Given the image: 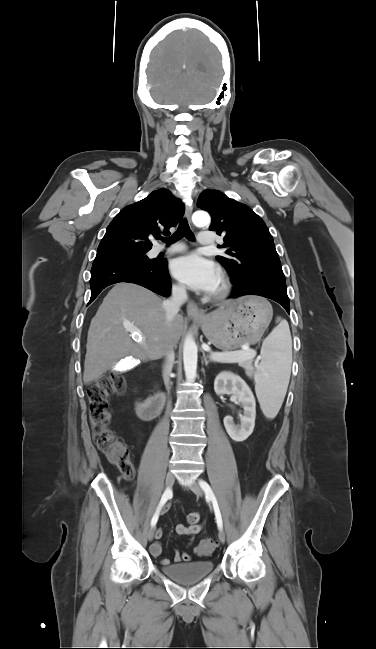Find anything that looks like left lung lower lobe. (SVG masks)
I'll use <instances>...</instances> for the list:
<instances>
[{"instance_id": "0a47b994", "label": "left lung lower lobe", "mask_w": 376, "mask_h": 649, "mask_svg": "<svg viewBox=\"0 0 376 649\" xmlns=\"http://www.w3.org/2000/svg\"><path fill=\"white\" fill-rule=\"evenodd\" d=\"M245 295H258L278 302L290 314L289 298L286 286L263 276H250L242 284L237 285L236 291L229 298H239Z\"/></svg>"}]
</instances>
